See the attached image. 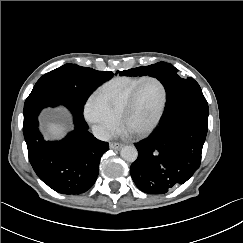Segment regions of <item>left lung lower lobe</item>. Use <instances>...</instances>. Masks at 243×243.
<instances>
[{"label":"left lung lower lobe","mask_w":243,"mask_h":243,"mask_svg":"<svg viewBox=\"0 0 243 243\" xmlns=\"http://www.w3.org/2000/svg\"><path fill=\"white\" fill-rule=\"evenodd\" d=\"M208 113L202 92L190 94L165 108L153 132L135 143L138 158L132 163L130 173L141 191L164 194L192 177L200 166Z\"/></svg>","instance_id":"left-lung-lower-lobe-1"}]
</instances>
